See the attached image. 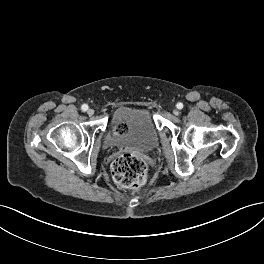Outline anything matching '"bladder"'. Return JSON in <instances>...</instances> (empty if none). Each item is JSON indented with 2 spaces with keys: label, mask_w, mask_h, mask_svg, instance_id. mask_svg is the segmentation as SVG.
Instances as JSON below:
<instances>
[{
  "label": "bladder",
  "mask_w": 264,
  "mask_h": 264,
  "mask_svg": "<svg viewBox=\"0 0 264 264\" xmlns=\"http://www.w3.org/2000/svg\"><path fill=\"white\" fill-rule=\"evenodd\" d=\"M158 142L159 133L148 110L121 108L114 114L105 146L150 152Z\"/></svg>",
  "instance_id": "obj_1"
}]
</instances>
